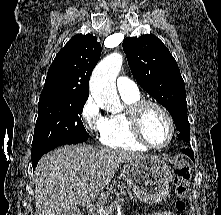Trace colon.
Listing matches in <instances>:
<instances>
[{
	"instance_id": "5ec220e1",
	"label": "colon",
	"mask_w": 221,
	"mask_h": 215,
	"mask_svg": "<svg viewBox=\"0 0 221 215\" xmlns=\"http://www.w3.org/2000/svg\"><path fill=\"white\" fill-rule=\"evenodd\" d=\"M191 182V169L187 162H183L176 166L174 169V185L175 193L178 198L175 206L180 212L186 209V203L184 201L188 194Z\"/></svg>"
}]
</instances>
